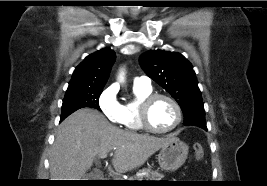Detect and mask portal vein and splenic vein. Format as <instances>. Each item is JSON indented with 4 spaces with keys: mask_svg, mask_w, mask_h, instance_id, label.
<instances>
[{
    "mask_svg": "<svg viewBox=\"0 0 267 186\" xmlns=\"http://www.w3.org/2000/svg\"><path fill=\"white\" fill-rule=\"evenodd\" d=\"M107 157V153H102L99 155V158L104 159Z\"/></svg>",
    "mask_w": 267,
    "mask_h": 186,
    "instance_id": "portal-vein-and-splenic-vein-1",
    "label": "portal vein and splenic vein"
}]
</instances>
